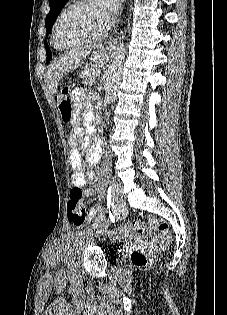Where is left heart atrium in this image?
Segmentation results:
<instances>
[{"instance_id":"1","label":"left heart atrium","mask_w":227,"mask_h":315,"mask_svg":"<svg viewBox=\"0 0 227 315\" xmlns=\"http://www.w3.org/2000/svg\"><path fill=\"white\" fill-rule=\"evenodd\" d=\"M95 1L100 6L102 14L106 20V25H109V23L113 19L114 14L116 13L118 9V4H119L118 0H95Z\"/></svg>"}]
</instances>
